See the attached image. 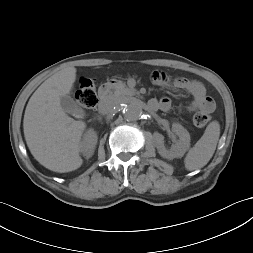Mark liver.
Wrapping results in <instances>:
<instances>
[{
  "mask_svg": "<svg viewBox=\"0 0 253 253\" xmlns=\"http://www.w3.org/2000/svg\"><path fill=\"white\" fill-rule=\"evenodd\" d=\"M76 68L66 67L45 80L26 106L23 129L33 157L45 168L59 173L81 167V139L86 123L69 117L60 97L71 92Z\"/></svg>",
  "mask_w": 253,
  "mask_h": 253,
  "instance_id": "obj_1",
  "label": "liver"
}]
</instances>
